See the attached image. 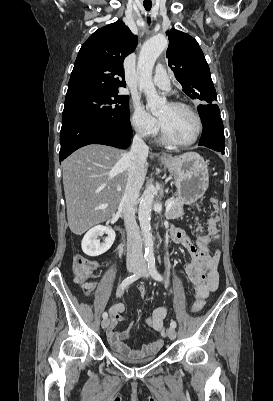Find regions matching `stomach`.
Instances as JSON below:
<instances>
[{
	"mask_svg": "<svg viewBox=\"0 0 273 401\" xmlns=\"http://www.w3.org/2000/svg\"><path fill=\"white\" fill-rule=\"evenodd\" d=\"M167 152L162 154L160 160L164 168H168L175 176L177 196L184 205L196 203L198 198L205 194L209 186L208 166L198 152H184L179 156L164 158Z\"/></svg>",
	"mask_w": 273,
	"mask_h": 401,
	"instance_id": "obj_1",
	"label": "stomach"
}]
</instances>
